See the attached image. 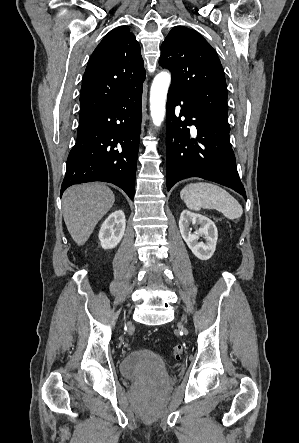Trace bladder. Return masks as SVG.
<instances>
[{"instance_id": "bladder-1", "label": "bladder", "mask_w": 299, "mask_h": 443, "mask_svg": "<svg viewBox=\"0 0 299 443\" xmlns=\"http://www.w3.org/2000/svg\"><path fill=\"white\" fill-rule=\"evenodd\" d=\"M120 372L127 378H142L158 383L168 379L167 366L162 358L149 349H135L120 362Z\"/></svg>"}]
</instances>
